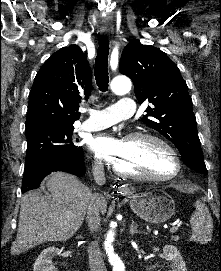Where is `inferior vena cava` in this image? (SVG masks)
<instances>
[{
    "label": "inferior vena cava",
    "instance_id": "1",
    "mask_svg": "<svg viewBox=\"0 0 221 271\" xmlns=\"http://www.w3.org/2000/svg\"><path fill=\"white\" fill-rule=\"evenodd\" d=\"M93 169L94 171H97L99 175L97 179L98 185H103V183L106 181V177L104 175V165H102V161H99V163H94ZM99 197L100 193H92L91 191L86 217L88 229L92 235H95L97 231H100V227L102 225L98 205ZM87 251L90 271H107L104 259L102 257L99 241H90Z\"/></svg>",
    "mask_w": 221,
    "mask_h": 271
}]
</instances>
